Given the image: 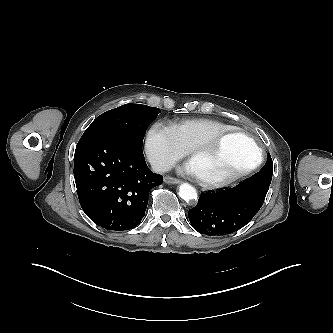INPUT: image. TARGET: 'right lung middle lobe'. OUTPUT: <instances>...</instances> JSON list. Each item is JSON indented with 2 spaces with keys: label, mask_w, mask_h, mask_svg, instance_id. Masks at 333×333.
Instances as JSON below:
<instances>
[{
  "label": "right lung middle lobe",
  "mask_w": 333,
  "mask_h": 333,
  "mask_svg": "<svg viewBox=\"0 0 333 333\" xmlns=\"http://www.w3.org/2000/svg\"><path fill=\"white\" fill-rule=\"evenodd\" d=\"M160 110L142 104H125L98 116L84 132L83 138L111 137L142 146L149 124Z\"/></svg>",
  "instance_id": "right-lung-middle-lobe-1"
}]
</instances>
